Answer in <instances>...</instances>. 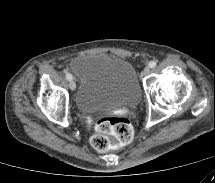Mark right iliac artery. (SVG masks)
<instances>
[{
    "label": "right iliac artery",
    "mask_w": 215,
    "mask_h": 183,
    "mask_svg": "<svg viewBox=\"0 0 215 183\" xmlns=\"http://www.w3.org/2000/svg\"><path fill=\"white\" fill-rule=\"evenodd\" d=\"M66 78L68 81L72 80V75L70 73H66Z\"/></svg>",
    "instance_id": "right-iliac-artery-1"
}]
</instances>
